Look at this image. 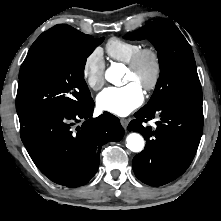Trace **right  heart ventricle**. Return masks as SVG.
Instances as JSON below:
<instances>
[{"label":"right heart ventricle","instance_id":"e07e8e85","mask_svg":"<svg viewBox=\"0 0 221 221\" xmlns=\"http://www.w3.org/2000/svg\"><path fill=\"white\" fill-rule=\"evenodd\" d=\"M141 47L138 42L113 37L107 41L105 49L111 59L127 64Z\"/></svg>","mask_w":221,"mask_h":221}]
</instances>
